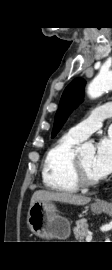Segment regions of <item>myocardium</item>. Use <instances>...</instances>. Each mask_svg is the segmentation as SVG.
<instances>
[{"mask_svg":"<svg viewBox=\"0 0 112 270\" xmlns=\"http://www.w3.org/2000/svg\"><path fill=\"white\" fill-rule=\"evenodd\" d=\"M71 170L74 180L79 187H93L98 185L100 182L99 178L90 179L89 177H87L77 155H75L72 160Z\"/></svg>","mask_w":112,"mask_h":270,"instance_id":"1","label":"myocardium"}]
</instances>
